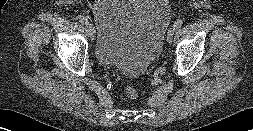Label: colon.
Instances as JSON below:
<instances>
[{
  "instance_id": "1",
  "label": "colon",
  "mask_w": 253,
  "mask_h": 131,
  "mask_svg": "<svg viewBox=\"0 0 253 131\" xmlns=\"http://www.w3.org/2000/svg\"><path fill=\"white\" fill-rule=\"evenodd\" d=\"M125 92L127 97H129L130 99H135L138 97V90L133 86H127L125 88Z\"/></svg>"
}]
</instances>
